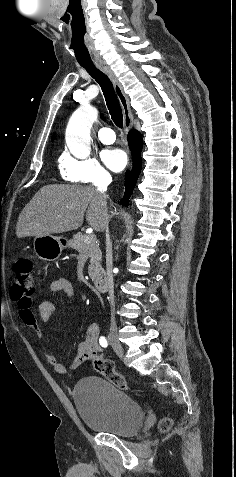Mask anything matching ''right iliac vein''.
<instances>
[{
  "label": "right iliac vein",
  "mask_w": 236,
  "mask_h": 477,
  "mask_svg": "<svg viewBox=\"0 0 236 477\" xmlns=\"http://www.w3.org/2000/svg\"><path fill=\"white\" fill-rule=\"evenodd\" d=\"M109 342L112 345L114 351L119 357H123L124 351L122 344L119 341L118 335L115 332L110 333Z\"/></svg>",
  "instance_id": "63e3f726"
}]
</instances>
